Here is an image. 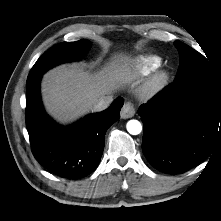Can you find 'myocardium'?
<instances>
[{
	"mask_svg": "<svg viewBox=\"0 0 221 221\" xmlns=\"http://www.w3.org/2000/svg\"><path fill=\"white\" fill-rule=\"evenodd\" d=\"M169 72L165 69L154 70L146 80L142 94L145 97H152L162 91L169 82Z\"/></svg>",
	"mask_w": 221,
	"mask_h": 221,
	"instance_id": "f54148a6",
	"label": "myocardium"
}]
</instances>
